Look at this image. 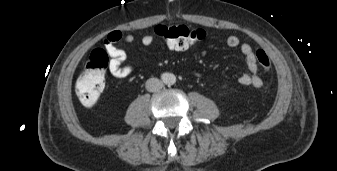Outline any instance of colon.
<instances>
[{
  "instance_id": "5ec220e1",
  "label": "colon",
  "mask_w": 337,
  "mask_h": 171,
  "mask_svg": "<svg viewBox=\"0 0 337 171\" xmlns=\"http://www.w3.org/2000/svg\"><path fill=\"white\" fill-rule=\"evenodd\" d=\"M155 33L165 41L167 49L172 53L194 45L205 37L203 29L186 25L161 24L155 27ZM255 56L262 70L268 71L271 68L270 59L263 50H257ZM107 66V53L102 49L93 50L75 85L77 96L83 106H93L101 97L105 88Z\"/></svg>"
}]
</instances>
